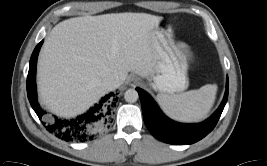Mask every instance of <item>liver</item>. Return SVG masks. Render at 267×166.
<instances>
[{
    "instance_id": "6515ba94",
    "label": "liver",
    "mask_w": 267,
    "mask_h": 166,
    "mask_svg": "<svg viewBox=\"0 0 267 166\" xmlns=\"http://www.w3.org/2000/svg\"><path fill=\"white\" fill-rule=\"evenodd\" d=\"M162 20L160 16L125 12L71 18L57 24L38 60L42 103L60 116L72 117L108 92L103 85L107 78H118L120 85L128 72L148 78L156 61V26Z\"/></svg>"
}]
</instances>
